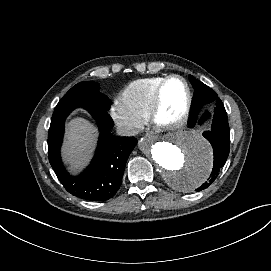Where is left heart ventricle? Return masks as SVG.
Masks as SVG:
<instances>
[{
	"mask_svg": "<svg viewBox=\"0 0 271 271\" xmlns=\"http://www.w3.org/2000/svg\"><path fill=\"white\" fill-rule=\"evenodd\" d=\"M187 100V89L185 84L178 80H171L163 94L164 116L171 118L176 116L184 107Z\"/></svg>",
	"mask_w": 271,
	"mask_h": 271,
	"instance_id": "1",
	"label": "left heart ventricle"
}]
</instances>
